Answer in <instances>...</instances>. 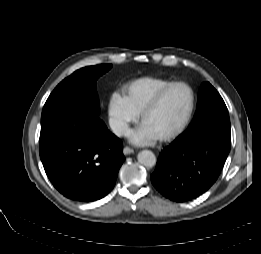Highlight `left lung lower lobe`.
Masks as SVG:
<instances>
[{
    "instance_id": "1",
    "label": "left lung lower lobe",
    "mask_w": 261,
    "mask_h": 254,
    "mask_svg": "<svg viewBox=\"0 0 261 254\" xmlns=\"http://www.w3.org/2000/svg\"><path fill=\"white\" fill-rule=\"evenodd\" d=\"M230 142V128L212 127L195 135L182 133L159 156L152 184L172 201L200 196L217 180Z\"/></svg>"
}]
</instances>
